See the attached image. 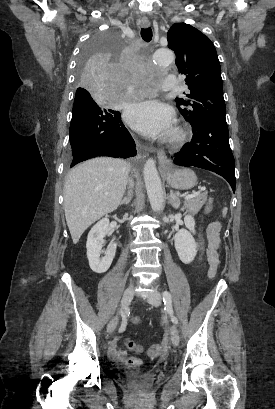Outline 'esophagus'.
Instances as JSON below:
<instances>
[{"instance_id": "1", "label": "esophagus", "mask_w": 275, "mask_h": 409, "mask_svg": "<svg viewBox=\"0 0 275 409\" xmlns=\"http://www.w3.org/2000/svg\"><path fill=\"white\" fill-rule=\"evenodd\" d=\"M149 25H150V22H149L148 18L147 17H142L141 18V26L144 27V28H147V27H149ZM156 151H157V156H158L159 160L160 159H167V155H166V152H165L164 149L159 148ZM145 156H147L146 153L144 154V157Z\"/></svg>"}]
</instances>
